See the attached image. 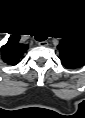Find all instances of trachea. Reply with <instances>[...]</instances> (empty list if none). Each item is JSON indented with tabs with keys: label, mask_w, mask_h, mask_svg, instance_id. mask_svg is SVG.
<instances>
[{
	"label": "trachea",
	"mask_w": 85,
	"mask_h": 118,
	"mask_svg": "<svg viewBox=\"0 0 85 118\" xmlns=\"http://www.w3.org/2000/svg\"><path fill=\"white\" fill-rule=\"evenodd\" d=\"M40 37V35L37 36V38ZM38 41H44L46 40L45 38H42V39H37Z\"/></svg>",
	"instance_id": "3493384b"
}]
</instances>
